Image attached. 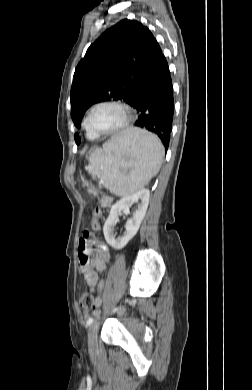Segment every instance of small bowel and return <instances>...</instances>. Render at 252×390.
<instances>
[{
	"instance_id": "c3829d8e",
	"label": "small bowel",
	"mask_w": 252,
	"mask_h": 390,
	"mask_svg": "<svg viewBox=\"0 0 252 390\" xmlns=\"http://www.w3.org/2000/svg\"><path fill=\"white\" fill-rule=\"evenodd\" d=\"M83 255L88 256L85 264L86 269L90 272L87 282L92 292H95V287L98 285V293L95 297V309H98L102 304V294L104 290V281L99 282V274L106 269V265L110 259L109 248L90 231H85L82 238L78 242V257L81 264Z\"/></svg>"
}]
</instances>
